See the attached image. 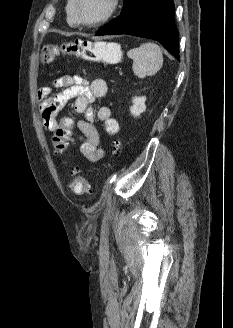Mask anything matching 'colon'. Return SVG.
<instances>
[{
    "mask_svg": "<svg viewBox=\"0 0 233 328\" xmlns=\"http://www.w3.org/2000/svg\"><path fill=\"white\" fill-rule=\"evenodd\" d=\"M61 55H73L88 61L113 62L119 58L120 50L117 46L108 43H90L84 41H74L62 45H45L41 49L40 63L49 64ZM53 146L59 156L60 161L68 166L66 153L67 142L73 135V122L70 118H63L58 121V126L53 131ZM114 153L121 147V142L114 143ZM71 179L69 186L72 191L78 194L91 192L87 179L80 174L78 167L71 168Z\"/></svg>",
    "mask_w": 233,
    "mask_h": 328,
    "instance_id": "5ec220e1",
    "label": "colon"
}]
</instances>
